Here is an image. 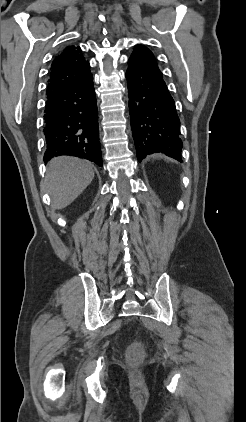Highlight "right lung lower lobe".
Here are the masks:
<instances>
[{"label":"right lung lower lobe","mask_w":246,"mask_h":422,"mask_svg":"<svg viewBox=\"0 0 246 422\" xmlns=\"http://www.w3.org/2000/svg\"><path fill=\"white\" fill-rule=\"evenodd\" d=\"M44 112L45 162L55 156L71 155L102 167L92 74L47 96Z\"/></svg>","instance_id":"1"}]
</instances>
